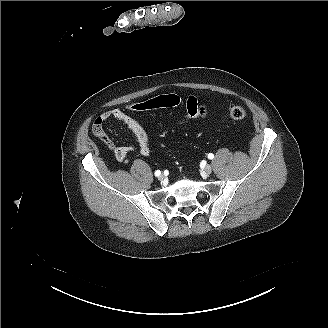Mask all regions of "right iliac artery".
I'll list each match as a JSON object with an SVG mask.
<instances>
[{"label":"right iliac artery","instance_id":"right-iliac-artery-1","mask_svg":"<svg viewBox=\"0 0 328 328\" xmlns=\"http://www.w3.org/2000/svg\"><path fill=\"white\" fill-rule=\"evenodd\" d=\"M161 174L160 170L155 171V176H159Z\"/></svg>","mask_w":328,"mask_h":328}]
</instances>
